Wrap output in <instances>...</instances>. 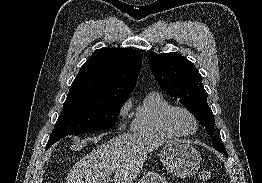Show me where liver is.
<instances>
[{
    "mask_svg": "<svg viewBox=\"0 0 262 183\" xmlns=\"http://www.w3.org/2000/svg\"><path fill=\"white\" fill-rule=\"evenodd\" d=\"M167 140L153 135L124 133L109 139L78 161L66 183H133L148 153Z\"/></svg>",
    "mask_w": 262,
    "mask_h": 183,
    "instance_id": "liver-1",
    "label": "liver"
}]
</instances>
